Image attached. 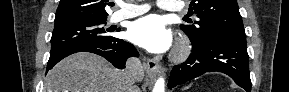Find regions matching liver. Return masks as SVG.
Returning a JSON list of instances; mask_svg holds the SVG:
<instances>
[{
  "label": "liver",
  "mask_w": 289,
  "mask_h": 92,
  "mask_svg": "<svg viewBox=\"0 0 289 92\" xmlns=\"http://www.w3.org/2000/svg\"><path fill=\"white\" fill-rule=\"evenodd\" d=\"M44 92H128L124 71L104 58L86 52L60 61L45 78ZM133 92H140L139 88Z\"/></svg>",
  "instance_id": "1"
}]
</instances>
